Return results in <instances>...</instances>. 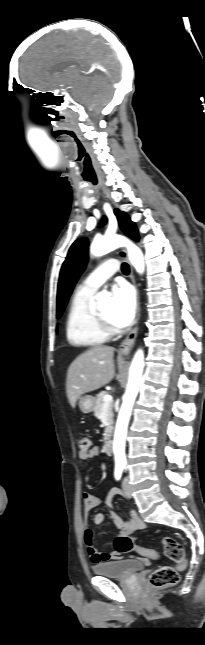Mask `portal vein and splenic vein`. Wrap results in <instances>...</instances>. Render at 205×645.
Here are the masks:
<instances>
[{
	"mask_svg": "<svg viewBox=\"0 0 205 645\" xmlns=\"http://www.w3.org/2000/svg\"><path fill=\"white\" fill-rule=\"evenodd\" d=\"M112 401H113V398H112V396H111V395H105V396H104V402H105V404H109V403H111Z\"/></svg>",
	"mask_w": 205,
	"mask_h": 645,
	"instance_id": "1",
	"label": "portal vein and splenic vein"
}]
</instances>
